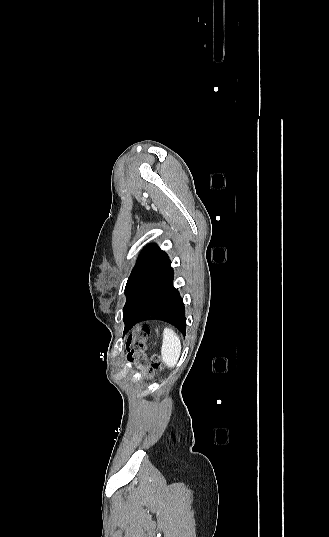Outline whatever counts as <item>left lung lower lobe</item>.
<instances>
[{"mask_svg": "<svg viewBox=\"0 0 329 537\" xmlns=\"http://www.w3.org/2000/svg\"><path fill=\"white\" fill-rule=\"evenodd\" d=\"M171 263L149 284L138 303L124 317V334L135 324L163 320L186 332L185 307L179 291L173 286Z\"/></svg>", "mask_w": 329, "mask_h": 537, "instance_id": "1", "label": "left lung lower lobe"}]
</instances>
